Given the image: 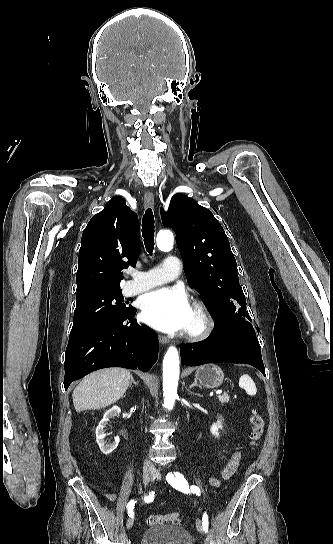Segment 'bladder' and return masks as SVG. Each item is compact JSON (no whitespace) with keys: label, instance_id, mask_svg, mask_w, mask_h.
Returning <instances> with one entry per match:
<instances>
[{"label":"bladder","instance_id":"bladder-1","mask_svg":"<svg viewBox=\"0 0 333 544\" xmlns=\"http://www.w3.org/2000/svg\"><path fill=\"white\" fill-rule=\"evenodd\" d=\"M139 544H194L191 534L183 527L162 525L146 529Z\"/></svg>","mask_w":333,"mask_h":544}]
</instances>
